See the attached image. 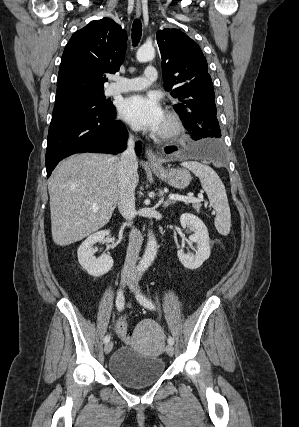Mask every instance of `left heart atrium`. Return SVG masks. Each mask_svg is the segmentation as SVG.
<instances>
[{
	"label": "left heart atrium",
	"instance_id": "obj_1",
	"mask_svg": "<svg viewBox=\"0 0 299 427\" xmlns=\"http://www.w3.org/2000/svg\"><path fill=\"white\" fill-rule=\"evenodd\" d=\"M122 118L137 129L157 132L165 115L157 97L132 95L125 98L119 107Z\"/></svg>",
	"mask_w": 299,
	"mask_h": 427
}]
</instances>
